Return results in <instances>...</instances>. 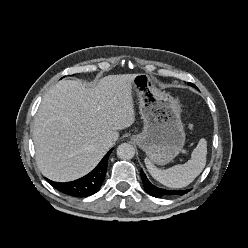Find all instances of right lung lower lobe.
Returning a JSON list of instances; mask_svg holds the SVG:
<instances>
[{
  "label": "right lung lower lobe",
  "mask_w": 248,
  "mask_h": 248,
  "mask_svg": "<svg viewBox=\"0 0 248 248\" xmlns=\"http://www.w3.org/2000/svg\"><path fill=\"white\" fill-rule=\"evenodd\" d=\"M112 149L103 157L97 167L88 175L67 183H58L46 179L54 188L62 193L75 197H86L96 193L104 181L107 163Z\"/></svg>",
  "instance_id": "obj_1"
}]
</instances>
